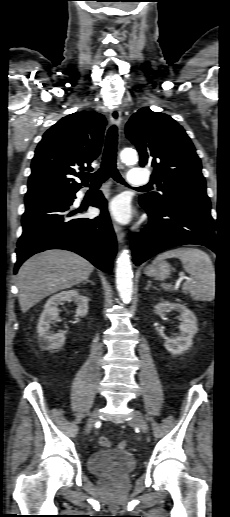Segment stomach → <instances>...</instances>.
Returning <instances> with one entry per match:
<instances>
[{
  "mask_svg": "<svg viewBox=\"0 0 230 517\" xmlns=\"http://www.w3.org/2000/svg\"><path fill=\"white\" fill-rule=\"evenodd\" d=\"M171 267L165 262L161 261L154 266H149L145 268V274L151 277H155L157 279H165L170 275Z\"/></svg>",
  "mask_w": 230,
  "mask_h": 517,
  "instance_id": "obj_1",
  "label": "stomach"
}]
</instances>
